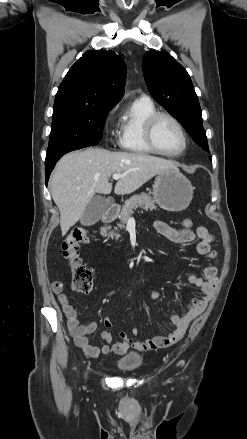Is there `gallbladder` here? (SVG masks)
<instances>
[{"label": "gallbladder", "mask_w": 247, "mask_h": 439, "mask_svg": "<svg viewBox=\"0 0 247 439\" xmlns=\"http://www.w3.org/2000/svg\"><path fill=\"white\" fill-rule=\"evenodd\" d=\"M109 201L101 196L94 197L87 205L80 222L84 226H90L100 220L109 206Z\"/></svg>", "instance_id": "obj_1"}]
</instances>
